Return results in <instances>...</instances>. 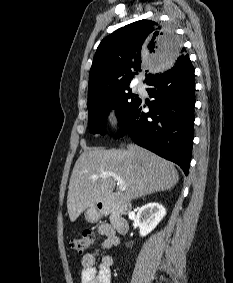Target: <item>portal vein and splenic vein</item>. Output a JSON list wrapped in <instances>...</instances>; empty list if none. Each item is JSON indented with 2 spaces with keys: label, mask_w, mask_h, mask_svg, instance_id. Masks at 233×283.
Here are the masks:
<instances>
[{
  "label": "portal vein and splenic vein",
  "mask_w": 233,
  "mask_h": 283,
  "mask_svg": "<svg viewBox=\"0 0 233 283\" xmlns=\"http://www.w3.org/2000/svg\"><path fill=\"white\" fill-rule=\"evenodd\" d=\"M108 176H113L117 181H118V186L119 189L121 191H125L126 190V184L122 181V179L120 178V176H118L116 173L113 172H102L98 175H93L92 179H99V178H104V177H108Z\"/></svg>",
  "instance_id": "18ae733b"
}]
</instances>
